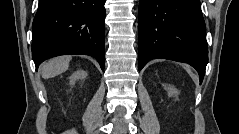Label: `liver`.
<instances>
[{"label": "liver", "instance_id": "obj_1", "mask_svg": "<svg viewBox=\"0 0 239 134\" xmlns=\"http://www.w3.org/2000/svg\"><path fill=\"white\" fill-rule=\"evenodd\" d=\"M70 56H62L49 60L41 66V74L44 79L62 74L69 68Z\"/></svg>", "mask_w": 239, "mask_h": 134}]
</instances>
